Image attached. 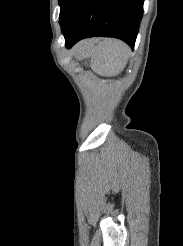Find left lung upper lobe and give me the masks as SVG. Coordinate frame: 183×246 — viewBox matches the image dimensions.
Listing matches in <instances>:
<instances>
[{
  "mask_svg": "<svg viewBox=\"0 0 183 246\" xmlns=\"http://www.w3.org/2000/svg\"><path fill=\"white\" fill-rule=\"evenodd\" d=\"M60 5V25L63 23V20L65 19L67 12L73 2V0H58Z\"/></svg>",
  "mask_w": 183,
  "mask_h": 246,
  "instance_id": "1",
  "label": "left lung upper lobe"
}]
</instances>
